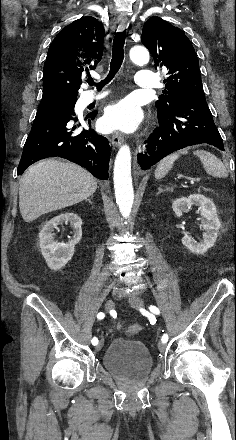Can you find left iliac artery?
I'll return each mask as SVG.
<instances>
[{
    "label": "left iliac artery",
    "instance_id": "1",
    "mask_svg": "<svg viewBox=\"0 0 236 440\" xmlns=\"http://www.w3.org/2000/svg\"><path fill=\"white\" fill-rule=\"evenodd\" d=\"M149 309H150V311L153 312L154 314H157V315L160 314L159 309H158L156 306H154V305H150ZM141 311L144 312L143 310H141ZM161 341L164 342V343H166V342L168 341V335H167V334H164V335L162 336V338H161Z\"/></svg>",
    "mask_w": 236,
    "mask_h": 440
}]
</instances>
